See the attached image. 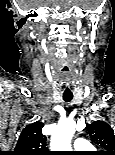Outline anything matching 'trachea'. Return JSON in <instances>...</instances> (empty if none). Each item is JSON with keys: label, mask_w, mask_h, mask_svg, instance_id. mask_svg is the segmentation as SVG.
I'll return each instance as SVG.
<instances>
[{"label": "trachea", "mask_w": 115, "mask_h": 155, "mask_svg": "<svg viewBox=\"0 0 115 155\" xmlns=\"http://www.w3.org/2000/svg\"><path fill=\"white\" fill-rule=\"evenodd\" d=\"M61 96H63V100L65 102H69L73 98V90H69V87H64L63 93H61Z\"/></svg>", "instance_id": "1"}]
</instances>
